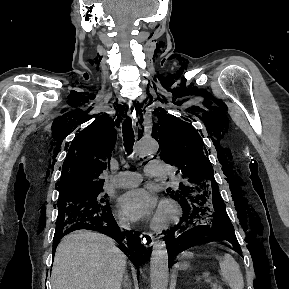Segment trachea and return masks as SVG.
Wrapping results in <instances>:
<instances>
[{
  "label": "trachea",
  "mask_w": 289,
  "mask_h": 289,
  "mask_svg": "<svg viewBox=\"0 0 289 289\" xmlns=\"http://www.w3.org/2000/svg\"><path fill=\"white\" fill-rule=\"evenodd\" d=\"M122 132L125 150L128 154H131L134 144V131L132 128V121L130 118L124 120L122 124Z\"/></svg>",
  "instance_id": "trachea-1"
}]
</instances>
